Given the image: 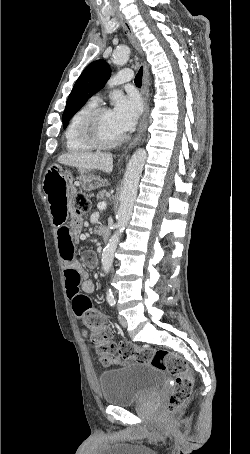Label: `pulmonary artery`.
<instances>
[{
	"instance_id": "1",
	"label": "pulmonary artery",
	"mask_w": 250,
	"mask_h": 454,
	"mask_svg": "<svg viewBox=\"0 0 250 454\" xmlns=\"http://www.w3.org/2000/svg\"><path fill=\"white\" fill-rule=\"evenodd\" d=\"M132 78H133V73L131 70L122 69L112 77L109 84H110V86H114V85H119V84H123V83H128L131 81ZM100 100H101V97L99 94L92 97V101H94L96 103L100 102Z\"/></svg>"
}]
</instances>
